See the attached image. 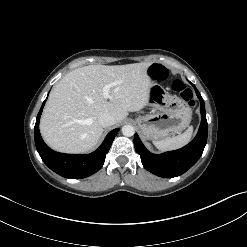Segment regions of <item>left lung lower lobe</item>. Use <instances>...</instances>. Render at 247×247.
Listing matches in <instances>:
<instances>
[{"mask_svg": "<svg viewBox=\"0 0 247 247\" xmlns=\"http://www.w3.org/2000/svg\"><path fill=\"white\" fill-rule=\"evenodd\" d=\"M193 87L200 100V112L202 120L198 133L192 142L181 149L158 155L150 153L144 147L137 134L134 136V146L137 153L141 156V162L143 166L149 172L157 176L164 178L179 176L190 169L198 161L203 153L207 142L208 132L206 112L202 96L194 85Z\"/></svg>", "mask_w": 247, "mask_h": 247, "instance_id": "obj_1", "label": "left lung lower lobe"}]
</instances>
